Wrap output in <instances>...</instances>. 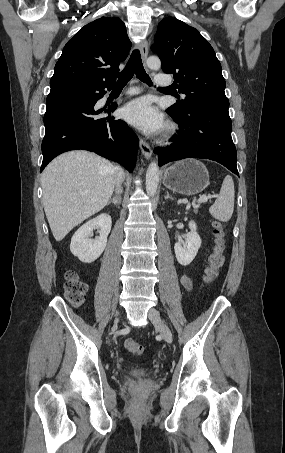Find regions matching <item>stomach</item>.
<instances>
[{
  "label": "stomach",
  "mask_w": 285,
  "mask_h": 453,
  "mask_svg": "<svg viewBox=\"0 0 285 453\" xmlns=\"http://www.w3.org/2000/svg\"><path fill=\"white\" fill-rule=\"evenodd\" d=\"M163 184L175 193L195 195L209 185V172L198 160H181L164 171Z\"/></svg>",
  "instance_id": "0dacf381"
}]
</instances>
